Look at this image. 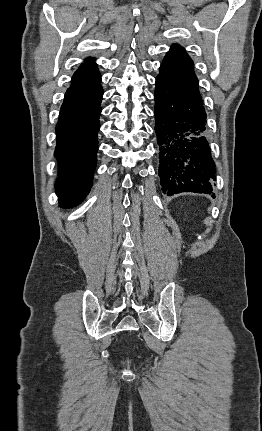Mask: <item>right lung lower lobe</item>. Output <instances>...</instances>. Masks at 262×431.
I'll return each instance as SVG.
<instances>
[{
	"instance_id": "98d812e1",
	"label": "right lung lower lobe",
	"mask_w": 262,
	"mask_h": 431,
	"mask_svg": "<svg viewBox=\"0 0 262 431\" xmlns=\"http://www.w3.org/2000/svg\"><path fill=\"white\" fill-rule=\"evenodd\" d=\"M101 85L68 88L56 126L59 205L70 208L89 193L96 166Z\"/></svg>"
}]
</instances>
